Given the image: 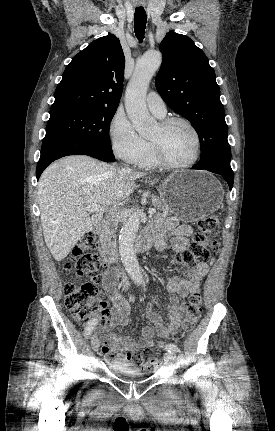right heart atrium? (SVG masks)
I'll list each match as a JSON object with an SVG mask.
<instances>
[{
  "label": "right heart atrium",
  "mask_w": 275,
  "mask_h": 431,
  "mask_svg": "<svg viewBox=\"0 0 275 431\" xmlns=\"http://www.w3.org/2000/svg\"><path fill=\"white\" fill-rule=\"evenodd\" d=\"M109 135L115 154L128 163L136 164L148 150V142L139 136L128 117L122 112H117L113 116Z\"/></svg>",
  "instance_id": "right-heart-atrium-1"
}]
</instances>
